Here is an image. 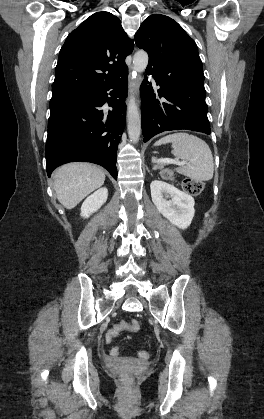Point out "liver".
<instances>
[{"label":"liver","instance_id":"6515ba94","mask_svg":"<svg viewBox=\"0 0 264 419\" xmlns=\"http://www.w3.org/2000/svg\"><path fill=\"white\" fill-rule=\"evenodd\" d=\"M58 201L67 209H73L91 192L101 187L105 173L85 162H74L59 167L54 173Z\"/></svg>","mask_w":264,"mask_h":419}]
</instances>
